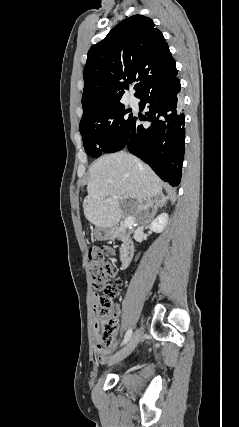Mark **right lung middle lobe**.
Wrapping results in <instances>:
<instances>
[{
    "instance_id": "dd1d6c3e",
    "label": "right lung middle lobe",
    "mask_w": 239,
    "mask_h": 427,
    "mask_svg": "<svg viewBox=\"0 0 239 427\" xmlns=\"http://www.w3.org/2000/svg\"><path fill=\"white\" fill-rule=\"evenodd\" d=\"M120 101L103 103L82 116L79 130L85 151L92 157L116 152L125 144L133 114Z\"/></svg>"
}]
</instances>
